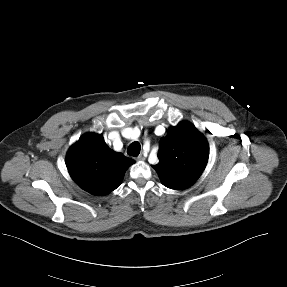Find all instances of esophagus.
I'll list each match as a JSON object with an SVG mask.
<instances>
[{"label": "esophagus", "mask_w": 287, "mask_h": 287, "mask_svg": "<svg viewBox=\"0 0 287 287\" xmlns=\"http://www.w3.org/2000/svg\"><path fill=\"white\" fill-rule=\"evenodd\" d=\"M136 159L138 161H143V160H145V157H144V155L140 154Z\"/></svg>", "instance_id": "esophagus-1"}]
</instances>
